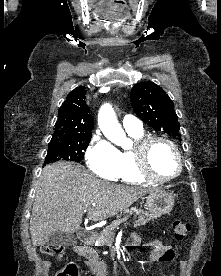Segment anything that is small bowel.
Here are the masks:
<instances>
[{
	"label": "small bowel",
	"mask_w": 221,
	"mask_h": 276,
	"mask_svg": "<svg viewBox=\"0 0 221 276\" xmlns=\"http://www.w3.org/2000/svg\"><path fill=\"white\" fill-rule=\"evenodd\" d=\"M140 239L138 236L131 237V244L139 245ZM152 248L150 253L151 261H172L175 258V251L161 241H153L147 244ZM75 251L80 256L86 258V263L94 276H107L105 263L99 258L98 253L93 248L85 246L75 247ZM168 276H174L169 274Z\"/></svg>",
	"instance_id": "1"
}]
</instances>
